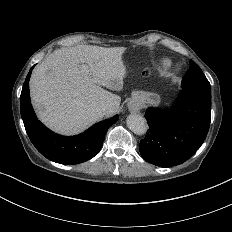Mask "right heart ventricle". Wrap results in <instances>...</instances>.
<instances>
[{
  "label": "right heart ventricle",
  "mask_w": 232,
  "mask_h": 232,
  "mask_svg": "<svg viewBox=\"0 0 232 232\" xmlns=\"http://www.w3.org/2000/svg\"><path fill=\"white\" fill-rule=\"evenodd\" d=\"M170 66H171V61L168 58H161L155 63L153 69L157 73L164 74L167 72Z\"/></svg>",
  "instance_id": "1"
}]
</instances>
